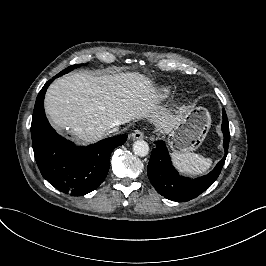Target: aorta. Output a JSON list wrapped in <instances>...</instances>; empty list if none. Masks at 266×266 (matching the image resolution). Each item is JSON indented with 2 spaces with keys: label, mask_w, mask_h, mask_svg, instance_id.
Wrapping results in <instances>:
<instances>
[{
  "label": "aorta",
  "mask_w": 266,
  "mask_h": 266,
  "mask_svg": "<svg viewBox=\"0 0 266 266\" xmlns=\"http://www.w3.org/2000/svg\"><path fill=\"white\" fill-rule=\"evenodd\" d=\"M149 150V145L145 141L139 140L133 143V152L139 157L147 156Z\"/></svg>",
  "instance_id": "obj_1"
}]
</instances>
